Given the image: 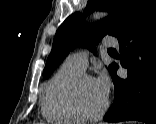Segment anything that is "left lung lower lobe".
<instances>
[{"label":"left lung lower lobe","instance_id":"obj_1","mask_svg":"<svg viewBox=\"0 0 156 124\" xmlns=\"http://www.w3.org/2000/svg\"><path fill=\"white\" fill-rule=\"evenodd\" d=\"M118 41L120 64L128 69V77L117 76L119 66L115 63L110 72L114 102L103 119L156 124V0L149 1L135 24Z\"/></svg>","mask_w":156,"mask_h":124}]
</instances>
